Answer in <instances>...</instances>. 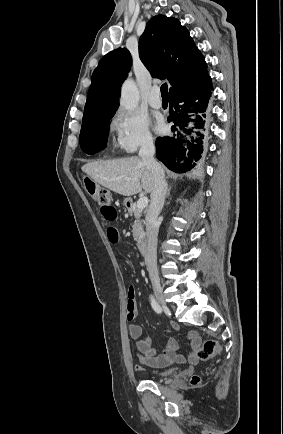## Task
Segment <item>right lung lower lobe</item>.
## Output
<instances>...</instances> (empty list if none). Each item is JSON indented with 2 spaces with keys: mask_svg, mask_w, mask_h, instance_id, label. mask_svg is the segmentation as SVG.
Segmentation results:
<instances>
[{
  "mask_svg": "<svg viewBox=\"0 0 283 434\" xmlns=\"http://www.w3.org/2000/svg\"><path fill=\"white\" fill-rule=\"evenodd\" d=\"M211 77L208 76L201 84L187 90L174 91L170 94V116L169 122L173 135L170 137H159L156 140V157L166 167L174 172L182 173L195 165L201 158L203 152V139L205 133V114L212 90ZM190 122L194 126L188 128ZM191 136V142L187 136ZM182 142L188 145L189 158L184 159L186 148ZM184 163L181 164V161Z\"/></svg>",
  "mask_w": 283,
  "mask_h": 434,
  "instance_id": "right-lung-lower-lobe-1",
  "label": "right lung lower lobe"
}]
</instances>
